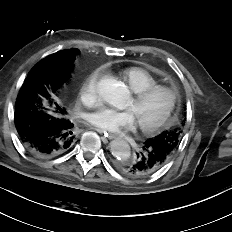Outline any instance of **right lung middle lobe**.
<instances>
[{
	"mask_svg": "<svg viewBox=\"0 0 232 232\" xmlns=\"http://www.w3.org/2000/svg\"><path fill=\"white\" fill-rule=\"evenodd\" d=\"M75 60V51L65 52L56 56L52 54L39 63H37L29 72L25 79L20 93L15 103V110H19V106L24 98L29 97L34 102L39 101V110L41 118L55 120L65 116V111L60 106L51 101V95L48 90H53V85L56 82L67 79L71 64ZM29 90H31L29 92Z\"/></svg>",
	"mask_w": 232,
	"mask_h": 232,
	"instance_id": "right-lung-middle-lobe-1",
	"label": "right lung middle lobe"
}]
</instances>
